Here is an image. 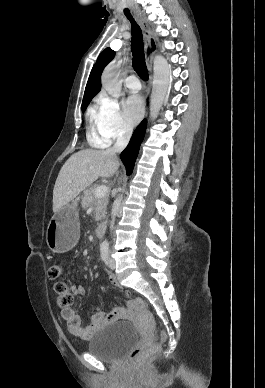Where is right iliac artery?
<instances>
[{
  "label": "right iliac artery",
  "mask_w": 265,
  "mask_h": 388,
  "mask_svg": "<svg viewBox=\"0 0 265 388\" xmlns=\"http://www.w3.org/2000/svg\"><path fill=\"white\" fill-rule=\"evenodd\" d=\"M101 252V259L108 263V258H109V246L108 244H102L100 248Z\"/></svg>",
  "instance_id": "right-iliac-artery-1"
}]
</instances>
